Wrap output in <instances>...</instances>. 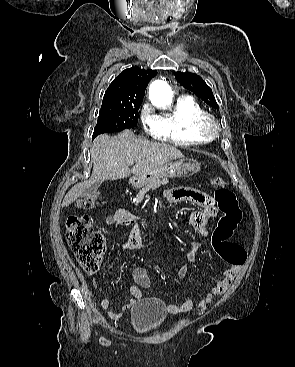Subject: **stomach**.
I'll use <instances>...</instances> for the list:
<instances>
[{
  "label": "stomach",
  "mask_w": 295,
  "mask_h": 367,
  "mask_svg": "<svg viewBox=\"0 0 295 367\" xmlns=\"http://www.w3.org/2000/svg\"><path fill=\"white\" fill-rule=\"evenodd\" d=\"M200 165L195 160L169 162L149 172L133 176L130 181L134 187L141 188L161 178L189 177L198 172Z\"/></svg>",
  "instance_id": "obj_1"
}]
</instances>
